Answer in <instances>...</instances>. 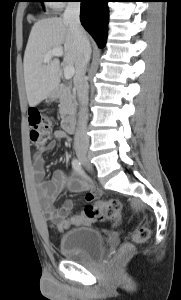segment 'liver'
I'll list each match as a JSON object with an SVG mask.
<instances>
[{
  "instance_id": "obj_1",
  "label": "liver",
  "mask_w": 181,
  "mask_h": 300,
  "mask_svg": "<svg viewBox=\"0 0 181 300\" xmlns=\"http://www.w3.org/2000/svg\"><path fill=\"white\" fill-rule=\"evenodd\" d=\"M54 48L64 51L65 66H74L77 49L69 24L53 17L37 21L30 32L24 54V81L29 106L38 105L58 87L60 62L57 58L44 62Z\"/></svg>"
}]
</instances>
